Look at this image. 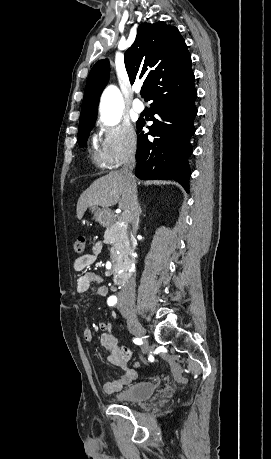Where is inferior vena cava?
<instances>
[{"mask_svg":"<svg viewBox=\"0 0 271 459\" xmlns=\"http://www.w3.org/2000/svg\"><path fill=\"white\" fill-rule=\"evenodd\" d=\"M135 166V158H132V160H129L125 166H123L121 172L122 174H126V176H129V178H132L134 180L135 176L132 174V170ZM132 188V196L133 200L131 202L132 206L130 208L131 212L128 214L129 220L132 222V226H136L139 222V214L141 212L140 206L138 204L137 196H136V184L134 180V184L131 186ZM120 295L122 299H135V281L134 279H130L128 283H125V285H122V289L120 291Z\"/></svg>","mask_w":271,"mask_h":459,"instance_id":"1","label":"inferior vena cava"}]
</instances>
